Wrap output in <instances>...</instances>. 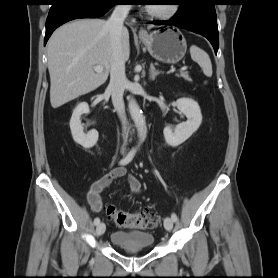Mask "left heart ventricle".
<instances>
[{
  "label": "left heart ventricle",
  "mask_w": 278,
  "mask_h": 278,
  "mask_svg": "<svg viewBox=\"0 0 278 278\" xmlns=\"http://www.w3.org/2000/svg\"><path fill=\"white\" fill-rule=\"evenodd\" d=\"M149 7L152 8L153 10H156V11H164V10H167L169 8V5L168 4H164V5H151Z\"/></svg>",
  "instance_id": "left-heart-ventricle-1"
}]
</instances>
